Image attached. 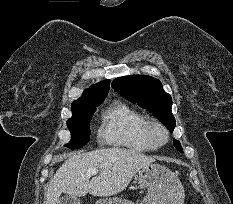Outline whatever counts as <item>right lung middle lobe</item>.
Here are the masks:
<instances>
[{"mask_svg":"<svg viewBox=\"0 0 233 204\" xmlns=\"http://www.w3.org/2000/svg\"><path fill=\"white\" fill-rule=\"evenodd\" d=\"M100 103L86 108L72 109V117L67 121V126L72 133V141L67 144V147L79 149L90 140L89 121Z\"/></svg>","mask_w":233,"mask_h":204,"instance_id":"dd1d6c3e","label":"right lung middle lobe"}]
</instances>
